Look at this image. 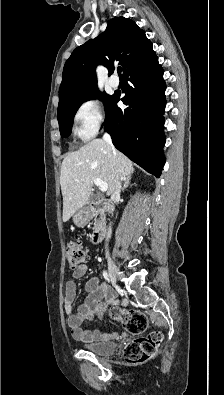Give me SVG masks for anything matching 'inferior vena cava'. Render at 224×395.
I'll return each instance as SVG.
<instances>
[{"mask_svg": "<svg viewBox=\"0 0 224 395\" xmlns=\"http://www.w3.org/2000/svg\"><path fill=\"white\" fill-rule=\"evenodd\" d=\"M103 139L106 143H108L113 149V145H112V140L109 134L105 133L103 136ZM120 192H121V182L118 181L116 184V187L111 195V199L114 203H116L118 201V199L120 198ZM111 234H112V229H111V225L109 226V229L107 231L106 234V241H109V239L111 238Z\"/></svg>", "mask_w": 224, "mask_h": 395, "instance_id": "602c4592", "label": "inferior vena cava"}]
</instances>
